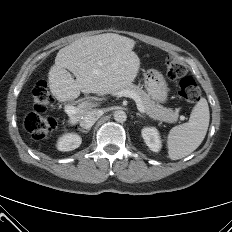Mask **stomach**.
Returning <instances> with one entry per match:
<instances>
[{
  "label": "stomach",
  "mask_w": 232,
  "mask_h": 232,
  "mask_svg": "<svg viewBox=\"0 0 232 232\" xmlns=\"http://www.w3.org/2000/svg\"><path fill=\"white\" fill-rule=\"evenodd\" d=\"M145 86L152 99L164 103L167 100L168 88L165 79L159 73L146 77Z\"/></svg>",
  "instance_id": "obj_1"
}]
</instances>
